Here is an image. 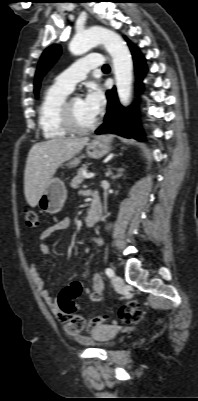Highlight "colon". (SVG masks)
Here are the masks:
<instances>
[{
  "label": "colon",
  "mask_w": 198,
  "mask_h": 401,
  "mask_svg": "<svg viewBox=\"0 0 198 401\" xmlns=\"http://www.w3.org/2000/svg\"><path fill=\"white\" fill-rule=\"evenodd\" d=\"M23 215L27 227H38L39 216L34 210L26 208L23 210ZM76 286V282H72L69 286L64 288L59 295V307L63 312L69 315H75L78 312V308L74 303ZM118 317L122 324H135L141 320L142 312L139 310L138 303L136 301H129L120 307ZM77 320L80 327H84L90 321H93L99 325L114 323L108 317H97L88 321L84 317L78 316Z\"/></svg>",
  "instance_id": "5ec220e1"
}]
</instances>
